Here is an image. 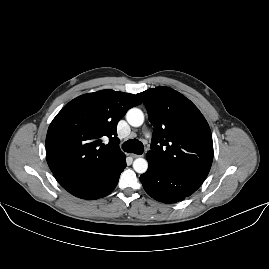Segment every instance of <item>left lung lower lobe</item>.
<instances>
[{"label":"left lung lower lobe","mask_w":269,"mask_h":269,"mask_svg":"<svg viewBox=\"0 0 269 269\" xmlns=\"http://www.w3.org/2000/svg\"><path fill=\"white\" fill-rule=\"evenodd\" d=\"M149 163L140 176L143 188L152 198L164 203H176L194 193L205 178Z\"/></svg>","instance_id":"left-lung-lower-lobe-1"}]
</instances>
